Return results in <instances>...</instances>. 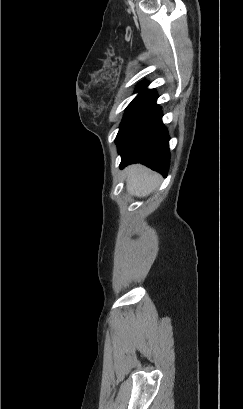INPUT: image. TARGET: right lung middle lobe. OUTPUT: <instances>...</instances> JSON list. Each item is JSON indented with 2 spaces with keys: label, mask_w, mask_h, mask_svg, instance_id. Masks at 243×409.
Here are the masks:
<instances>
[{
  "label": "right lung middle lobe",
  "mask_w": 243,
  "mask_h": 409,
  "mask_svg": "<svg viewBox=\"0 0 243 409\" xmlns=\"http://www.w3.org/2000/svg\"><path fill=\"white\" fill-rule=\"evenodd\" d=\"M148 83H140L138 88L136 89L137 92H140L139 95L129 104L126 108L125 115L120 125V130L124 127V125L128 122L131 116L137 111V109L155 92L154 89H145ZM119 130V132H120Z\"/></svg>",
  "instance_id": "right-lung-middle-lobe-1"
}]
</instances>
